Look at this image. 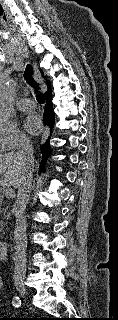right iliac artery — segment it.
Segmentation results:
<instances>
[{"mask_svg":"<svg viewBox=\"0 0 118 320\" xmlns=\"http://www.w3.org/2000/svg\"><path fill=\"white\" fill-rule=\"evenodd\" d=\"M12 304L14 307H20L21 305V299L19 298V296H15L12 300Z\"/></svg>","mask_w":118,"mask_h":320,"instance_id":"1","label":"right iliac artery"}]
</instances>
